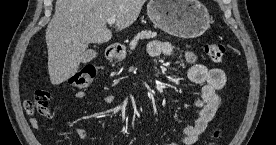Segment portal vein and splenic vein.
Wrapping results in <instances>:
<instances>
[{"mask_svg": "<svg viewBox=\"0 0 276 145\" xmlns=\"http://www.w3.org/2000/svg\"><path fill=\"white\" fill-rule=\"evenodd\" d=\"M115 20H116V17H115V16L110 17V18H108L107 23H108L109 25H112V24L115 23Z\"/></svg>", "mask_w": 276, "mask_h": 145, "instance_id": "1", "label": "portal vein and splenic vein"}]
</instances>
